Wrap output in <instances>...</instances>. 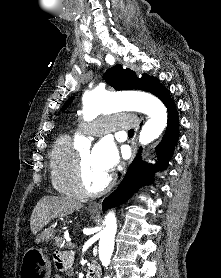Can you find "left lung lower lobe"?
Here are the masks:
<instances>
[{"mask_svg": "<svg viewBox=\"0 0 221 278\" xmlns=\"http://www.w3.org/2000/svg\"><path fill=\"white\" fill-rule=\"evenodd\" d=\"M166 107L169 116L167 130L156 148L159 162L156 165H147V163L142 162V149L140 148L118 188L104 200L102 205L103 210L122 204L140 186L152 183L155 172L166 169L168 160L173 155L174 146L179 139V119L173 100Z\"/></svg>", "mask_w": 221, "mask_h": 278, "instance_id": "obj_1", "label": "left lung lower lobe"}]
</instances>
